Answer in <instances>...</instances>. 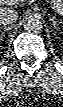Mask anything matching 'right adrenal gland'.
Here are the masks:
<instances>
[{
	"label": "right adrenal gland",
	"mask_w": 63,
	"mask_h": 107,
	"mask_svg": "<svg viewBox=\"0 0 63 107\" xmlns=\"http://www.w3.org/2000/svg\"><path fill=\"white\" fill-rule=\"evenodd\" d=\"M11 28H12V27H7V26H2V27H0V32L2 33V34H1V37H2V36H5V33H3L2 30H3V31H7V30H9V29H11Z\"/></svg>",
	"instance_id": "right-adrenal-gland-1"
}]
</instances>
